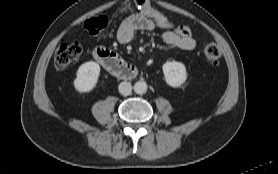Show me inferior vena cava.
<instances>
[{"mask_svg":"<svg viewBox=\"0 0 278 174\" xmlns=\"http://www.w3.org/2000/svg\"><path fill=\"white\" fill-rule=\"evenodd\" d=\"M118 89L122 95L128 96L132 92V85L130 82H121Z\"/></svg>","mask_w":278,"mask_h":174,"instance_id":"inferior-vena-cava-1","label":"inferior vena cava"}]
</instances>
